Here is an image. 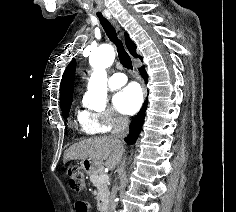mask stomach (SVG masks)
Returning <instances> with one entry per match:
<instances>
[{"mask_svg": "<svg viewBox=\"0 0 236 212\" xmlns=\"http://www.w3.org/2000/svg\"><path fill=\"white\" fill-rule=\"evenodd\" d=\"M81 167L86 174L91 175L92 173L97 171L99 165H97L95 161L85 159L81 161Z\"/></svg>", "mask_w": 236, "mask_h": 212, "instance_id": "0dacf381", "label": "stomach"}]
</instances>
